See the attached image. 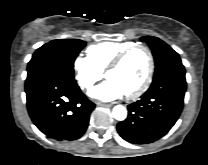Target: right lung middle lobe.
<instances>
[{"mask_svg":"<svg viewBox=\"0 0 208 165\" xmlns=\"http://www.w3.org/2000/svg\"><path fill=\"white\" fill-rule=\"evenodd\" d=\"M79 39L53 40L35 51L27 67V79L46 72H58L74 78V60L85 47Z\"/></svg>","mask_w":208,"mask_h":165,"instance_id":"dd1d6c3e","label":"right lung middle lobe"}]
</instances>
